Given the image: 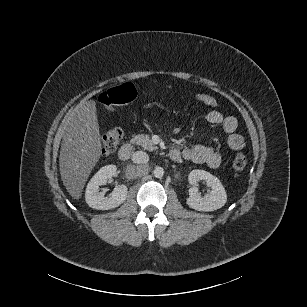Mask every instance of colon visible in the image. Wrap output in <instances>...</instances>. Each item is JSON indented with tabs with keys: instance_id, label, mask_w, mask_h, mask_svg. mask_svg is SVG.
Wrapping results in <instances>:
<instances>
[{
	"instance_id": "1",
	"label": "colon",
	"mask_w": 307,
	"mask_h": 307,
	"mask_svg": "<svg viewBox=\"0 0 307 307\" xmlns=\"http://www.w3.org/2000/svg\"><path fill=\"white\" fill-rule=\"evenodd\" d=\"M137 97V92L132 84L125 83L104 91L99 96V103L104 112H113L121 105L132 103ZM195 100L207 106L216 107L218 101L215 97L208 94H196ZM123 138L122 130L116 128L105 133L101 138V150L103 155L107 156L113 153L119 146ZM247 164L246 156L241 149L236 153L233 159V171L236 177L240 176Z\"/></svg>"
}]
</instances>
